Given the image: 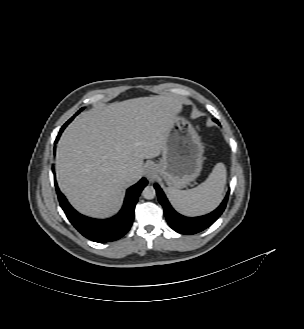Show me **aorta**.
<instances>
[{
  "label": "aorta",
  "mask_w": 304,
  "mask_h": 329,
  "mask_svg": "<svg viewBox=\"0 0 304 329\" xmlns=\"http://www.w3.org/2000/svg\"><path fill=\"white\" fill-rule=\"evenodd\" d=\"M142 195L145 199L150 200L155 197L156 191L153 186H146L142 191Z\"/></svg>",
  "instance_id": "762f6f07"
}]
</instances>
